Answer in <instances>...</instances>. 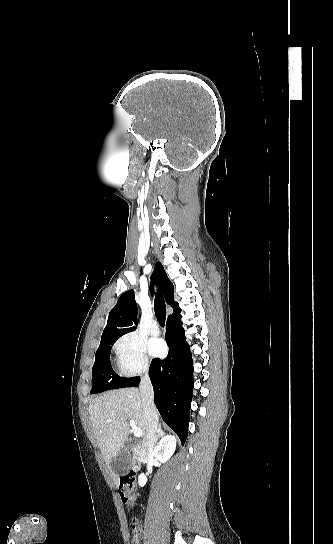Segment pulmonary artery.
<instances>
[{
    "instance_id": "1",
    "label": "pulmonary artery",
    "mask_w": 333,
    "mask_h": 544,
    "mask_svg": "<svg viewBox=\"0 0 333 544\" xmlns=\"http://www.w3.org/2000/svg\"><path fill=\"white\" fill-rule=\"evenodd\" d=\"M160 333V327L159 323L155 320H153L150 324V334L153 336H157Z\"/></svg>"
}]
</instances>
